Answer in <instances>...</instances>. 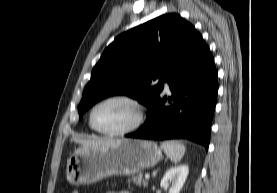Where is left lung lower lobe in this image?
Wrapping results in <instances>:
<instances>
[{
  "label": "left lung lower lobe",
  "mask_w": 277,
  "mask_h": 193,
  "mask_svg": "<svg viewBox=\"0 0 277 193\" xmlns=\"http://www.w3.org/2000/svg\"><path fill=\"white\" fill-rule=\"evenodd\" d=\"M172 96L159 98L143 127L129 138L179 139L208 149L218 92V72L209 47L199 34L186 57L167 80ZM168 100L170 105L165 106Z\"/></svg>",
  "instance_id": "1"
}]
</instances>
